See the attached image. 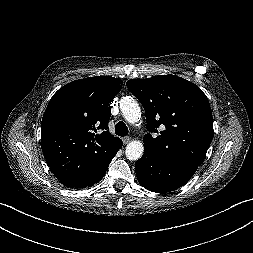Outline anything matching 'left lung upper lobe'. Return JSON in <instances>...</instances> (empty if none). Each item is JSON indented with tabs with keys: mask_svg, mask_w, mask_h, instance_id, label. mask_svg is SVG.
I'll list each match as a JSON object with an SVG mask.
<instances>
[{
	"mask_svg": "<svg viewBox=\"0 0 253 253\" xmlns=\"http://www.w3.org/2000/svg\"><path fill=\"white\" fill-rule=\"evenodd\" d=\"M146 112L144 148L169 165H201L213 139L209 101L194 83L175 75L131 79L126 83ZM161 130V131H160Z\"/></svg>",
	"mask_w": 253,
	"mask_h": 253,
	"instance_id": "5c2ea615",
	"label": "left lung upper lobe"
}]
</instances>
